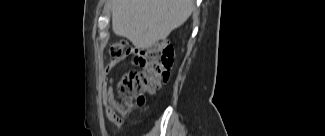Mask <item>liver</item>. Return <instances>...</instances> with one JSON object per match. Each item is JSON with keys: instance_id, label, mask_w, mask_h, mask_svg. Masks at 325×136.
Masks as SVG:
<instances>
[{"instance_id": "liver-1", "label": "liver", "mask_w": 325, "mask_h": 136, "mask_svg": "<svg viewBox=\"0 0 325 136\" xmlns=\"http://www.w3.org/2000/svg\"><path fill=\"white\" fill-rule=\"evenodd\" d=\"M194 9V0H112V30L144 50L184 24Z\"/></svg>"}]
</instances>
